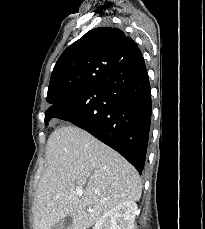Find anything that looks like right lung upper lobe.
<instances>
[{
  "mask_svg": "<svg viewBox=\"0 0 205 229\" xmlns=\"http://www.w3.org/2000/svg\"><path fill=\"white\" fill-rule=\"evenodd\" d=\"M140 51L121 30L98 27L75 41L59 57L52 71L47 102L55 104L95 83L98 76H109L120 61ZM101 81V80H100ZM99 82V81H98Z\"/></svg>",
  "mask_w": 205,
  "mask_h": 229,
  "instance_id": "obj_1",
  "label": "right lung upper lobe"
}]
</instances>
